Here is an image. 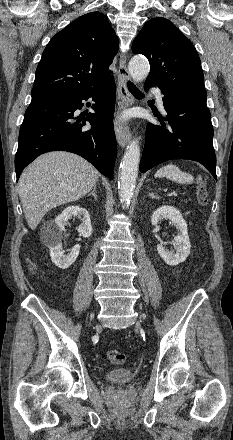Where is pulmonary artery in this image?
I'll return each instance as SVG.
<instances>
[{
	"mask_svg": "<svg viewBox=\"0 0 233 440\" xmlns=\"http://www.w3.org/2000/svg\"><path fill=\"white\" fill-rule=\"evenodd\" d=\"M151 91L155 94L158 104L163 109V95L158 88H151Z\"/></svg>",
	"mask_w": 233,
	"mask_h": 440,
	"instance_id": "1",
	"label": "pulmonary artery"
}]
</instances>
